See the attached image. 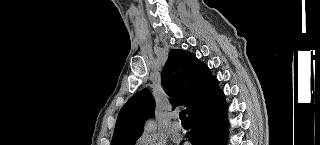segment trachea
I'll return each instance as SVG.
<instances>
[{
    "mask_svg": "<svg viewBox=\"0 0 320 145\" xmlns=\"http://www.w3.org/2000/svg\"><path fill=\"white\" fill-rule=\"evenodd\" d=\"M179 117L181 119V121H188L187 117H186V112L185 110H182L180 113H179Z\"/></svg>",
    "mask_w": 320,
    "mask_h": 145,
    "instance_id": "3493384b",
    "label": "trachea"
}]
</instances>
